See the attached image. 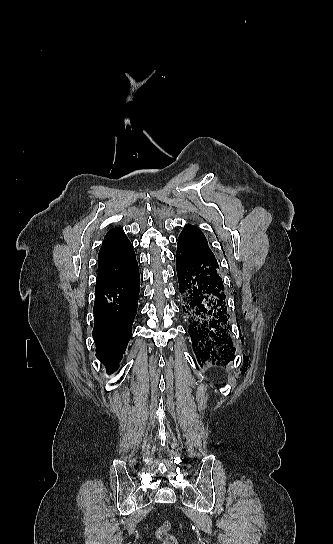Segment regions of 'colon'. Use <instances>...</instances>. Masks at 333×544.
Masks as SVG:
<instances>
[{
	"label": "colon",
	"instance_id": "5ec220e1",
	"mask_svg": "<svg viewBox=\"0 0 333 544\" xmlns=\"http://www.w3.org/2000/svg\"><path fill=\"white\" fill-rule=\"evenodd\" d=\"M171 528V523L165 521L156 530V537L162 544H178L177 539L171 533Z\"/></svg>",
	"mask_w": 333,
	"mask_h": 544
}]
</instances>
